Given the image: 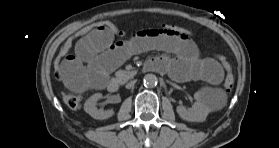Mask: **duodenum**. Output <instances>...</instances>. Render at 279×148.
Instances as JSON below:
<instances>
[{
	"mask_svg": "<svg viewBox=\"0 0 279 148\" xmlns=\"http://www.w3.org/2000/svg\"><path fill=\"white\" fill-rule=\"evenodd\" d=\"M146 68L148 69V64L146 66ZM120 89V82L117 79H112L109 83H108V90L110 92H116Z\"/></svg>",
	"mask_w": 279,
	"mask_h": 148,
	"instance_id": "1",
	"label": "duodenum"
}]
</instances>
